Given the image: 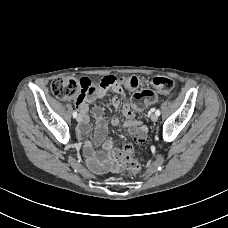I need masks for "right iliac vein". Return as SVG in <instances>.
<instances>
[{"label":"right iliac vein","instance_id":"obj_1","mask_svg":"<svg viewBox=\"0 0 228 228\" xmlns=\"http://www.w3.org/2000/svg\"><path fill=\"white\" fill-rule=\"evenodd\" d=\"M76 119H77L78 122H81V120H82L81 115H78Z\"/></svg>","mask_w":228,"mask_h":228}]
</instances>
